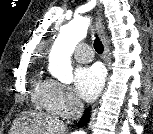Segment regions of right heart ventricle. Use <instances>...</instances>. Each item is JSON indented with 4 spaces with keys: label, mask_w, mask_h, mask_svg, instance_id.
I'll list each match as a JSON object with an SVG mask.
<instances>
[{
    "label": "right heart ventricle",
    "mask_w": 153,
    "mask_h": 134,
    "mask_svg": "<svg viewBox=\"0 0 153 134\" xmlns=\"http://www.w3.org/2000/svg\"><path fill=\"white\" fill-rule=\"evenodd\" d=\"M49 80L43 79L40 74H36L32 85V100L35 104L45 107L48 98Z\"/></svg>",
    "instance_id": "e07e8e85"
}]
</instances>
